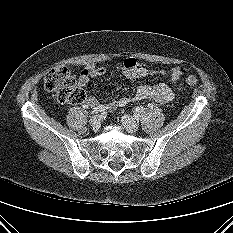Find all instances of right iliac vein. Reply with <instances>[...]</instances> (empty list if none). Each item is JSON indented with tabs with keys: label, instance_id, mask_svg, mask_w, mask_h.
I'll list each match as a JSON object with an SVG mask.
<instances>
[{
	"label": "right iliac vein",
	"instance_id": "obj_1",
	"mask_svg": "<svg viewBox=\"0 0 233 233\" xmlns=\"http://www.w3.org/2000/svg\"><path fill=\"white\" fill-rule=\"evenodd\" d=\"M90 125L92 126L93 129H97L100 126V116L95 115L93 116L90 121H89Z\"/></svg>",
	"mask_w": 233,
	"mask_h": 233
}]
</instances>
